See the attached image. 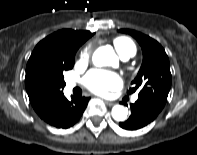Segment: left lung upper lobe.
I'll use <instances>...</instances> for the list:
<instances>
[{
    "instance_id": "5c2ea615",
    "label": "left lung upper lobe",
    "mask_w": 197,
    "mask_h": 155,
    "mask_svg": "<svg viewBox=\"0 0 197 155\" xmlns=\"http://www.w3.org/2000/svg\"><path fill=\"white\" fill-rule=\"evenodd\" d=\"M119 31L133 36L143 51L141 68L132 82L134 86L127 94L138 90V99L151 102L163 109L172 82L170 63L165 50L156 40L140 32L129 29Z\"/></svg>"
}]
</instances>
